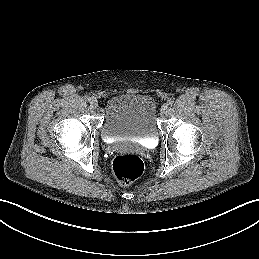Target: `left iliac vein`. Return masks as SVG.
Wrapping results in <instances>:
<instances>
[{"mask_svg":"<svg viewBox=\"0 0 259 259\" xmlns=\"http://www.w3.org/2000/svg\"><path fill=\"white\" fill-rule=\"evenodd\" d=\"M167 111H168V106L166 104H164L161 107V113L165 115L167 113Z\"/></svg>","mask_w":259,"mask_h":259,"instance_id":"4c4485c4","label":"left iliac vein"}]
</instances>
